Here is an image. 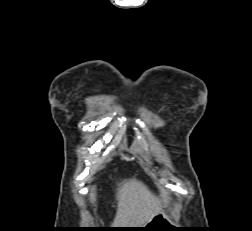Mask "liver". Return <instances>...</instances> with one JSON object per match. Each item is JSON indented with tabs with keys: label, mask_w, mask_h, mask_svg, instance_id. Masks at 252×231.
Masks as SVG:
<instances>
[{
	"label": "liver",
	"mask_w": 252,
	"mask_h": 231,
	"mask_svg": "<svg viewBox=\"0 0 252 231\" xmlns=\"http://www.w3.org/2000/svg\"><path fill=\"white\" fill-rule=\"evenodd\" d=\"M161 212V200L142 182L124 180L117 189L114 228H140Z\"/></svg>",
	"instance_id": "liver-1"
}]
</instances>
